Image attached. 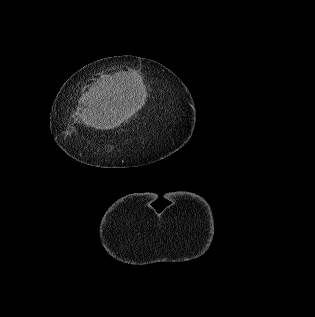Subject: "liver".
Masks as SVG:
<instances>
[{"label": "liver", "mask_w": 315, "mask_h": 317, "mask_svg": "<svg viewBox=\"0 0 315 317\" xmlns=\"http://www.w3.org/2000/svg\"><path fill=\"white\" fill-rule=\"evenodd\" d=\"M123 90L119 87L108 89L105 84L92 88L86 98L85 122L95 129L109 130L127 121L134 107L132 100L124 97Z\"/></svg>", "instance_id": "1"}]
</instances>
